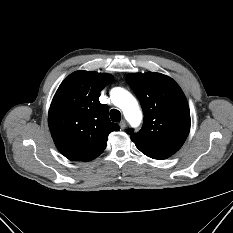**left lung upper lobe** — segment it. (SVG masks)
<instances>
[{"mask_svg": "<svg viewBox=\"0 0 233 233\" xmlns=\"http://www.w3.org/2000/svg\"><path fill=\"white\" fill-rule=\"evenodd\" d=\"M144 112V124L138 133L129 129L139 150L174 154L185 142L190 130V110L178 84L170 77L147 72L127 75Z\"/></svg>", "mask_w": 233, "mask_h": 233, "instance_id": "left-lung-upper-lobe-1", "label": "left lung upper lobe"}]
</instances>
